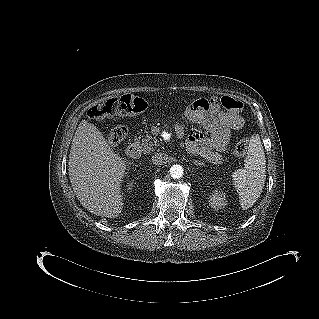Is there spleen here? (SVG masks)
<instances>
[{"instance_id": "1", "label": "spleen", "mask_w": 319, "mask_h": 319, "mask_svg": "<svg viewBox=\"0 0 319 319\" xmlns=\"http://www.w3.org/2000/svg\"><path fill=\"white\" fill-rule=\"evenodd\" d=\"M266 159L261 139L253 135L249 142L244 167L236 170L233 175V185L240 196L243 209L252 206L260 196L266 178Z\"/></svg>"}]
</instances>
